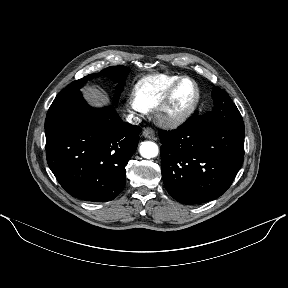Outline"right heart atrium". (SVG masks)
<instances>
[{"instance_id": "right-heart-atrium-1", "label": "right heart atrium", "mask_w": 288, "mask_h": 288, "mask_svg": "<svg viewBox=\"0 0 288 288\" xmlns=\"http://www.w3.org/2000/svg\"><path fill=\"white\" fill-rule=\"evenodd\" d=\"M127 110L136 116H146L149 113V108L145 106L135 93H130L125 101Z\"/></svg>"}]
</instances>
